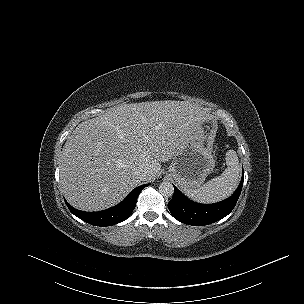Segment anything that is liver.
<instances>
[{
	"label": "liver",
	"instance_id": "liver-1",
	"mask_svg": "<svg viewBox=\"0 0 304 304\" xmlns=\"http://www.w3.org/2000/svg\"><path fill=\"white\" fill-rule=\"evenodd\" d=\"M210 118L196 104L165 100L118 105L80 123L62 150L65 198L84 211L116 205L144 182L137 169L148 171L145 181L154 180L161 162L174 158L194 129Z\"/></svg>",
	"mask_w": 304,
	"mask_h": 304
}]
</instances>
